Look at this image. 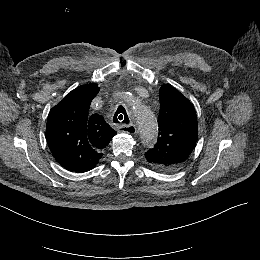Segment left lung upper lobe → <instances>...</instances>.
Masks as SVG:
<instances>
[{
	"label": "left lung upper lobe",
	"mask_w": 260,
	"mask_h": 260,
	"mask_svg": "<svg viewBox=\"0 0 260 260\" xmlns=\"http://www.w3.org/2000/svg\"><path fill=\"white\" fill-rule=\"evenodd\" d=\"M159 136L153 149L145 153L147 163L159 170L175 171L192 153L198 136L193 105L178 90L160 88Z\"/></svg>",
	"instance_id": "5c2ea615"
}]
</instances>
